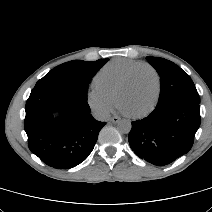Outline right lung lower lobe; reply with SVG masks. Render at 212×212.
Returning a JSON list of instances; mask_svg holds the SVG:
<instances>
[{
    "label": "right lung lower lobe",
    "mask_w": 212,
    "mask_h": 212,
    "mask_svg": "<svg viewBox=\"0 0 212 212\" xmlns=\"http://www.w3.org/2000/svg\"><path fill=\"white\" fill-rule=\"evenodd\" d=\"M25 111L29 149L57 169L73 168L83 162L106 124L90 114L86 97L67 90L34 89ZM54 111H59L60 116L54 118Z\"/></svg>",
    "instance_id": "obj_1"
}]
</instances>
